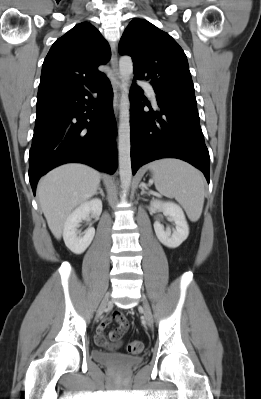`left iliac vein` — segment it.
<instances>
[{"mask_svg":"<svg viewBox=\"0 0 261 399\" xmlns=\"http://www.w3.org/2000/svg\"><path fill=\"white\" fill-rule=\"evenodd\" d=\"M142 302H143L144 318L147 322V325L151 326L153 317H152V312H151L150 306L144 298L142 299Z\"/></svg>","mask_w":261,"mask_h":399,"instance_id":"left-iliac-vein-1","label":"left iliac vein"}]
</instances>
